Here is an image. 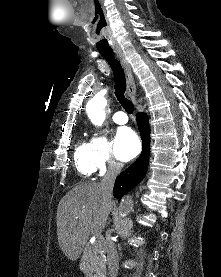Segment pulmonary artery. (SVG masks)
Here are the masks:
<instances>
[{
    "instance_id": "e3ab8cb5",
    "label": "pulmonary artery",
    "mask_w": 221,
    "mask_h": 277,
    "mask_svg": "<svg viewBox=\"0 0 221 277\" xmlns=\"http://www.w3.org/2000/svg\"><path fill=\"white\" fill-rule=\"evenodd\" d=\"M113 121L117 124L123 125L128 121V117L123 111H117L113 114Z\"/></svg>"
}]
</instances>
